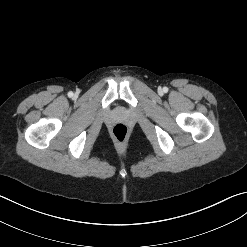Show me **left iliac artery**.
<instances>
[{"label":"left iliac artery","instance_id":"left-iliac-artery-1","mask_svg":"<svg viewBox=\"0 0 247 247\" xmlns=\"http://www.w3.org/2000/svg\"><path fill=\"white\" fill-rule=\"evenodd\" d=\"M163 91H164V92H167V91H168V88H167V87H164V88H163Z\"/></svg>","mask_w":247,"mask_h":247}]
</instances>
